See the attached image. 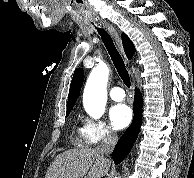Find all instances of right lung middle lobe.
Instances as JSON below:
<instances>
[{"label":"right lung middle lobe","mask_w":194,"mask_h":178,"mask_svg":"<svg viewBox=\"0 0 194 178\" xmlns=\"http://www.w3.org/2000/svg\"><path fill=\"white\" fill-rule=\"evenodd\" d=\"M69 113H70V111H68V112L66 113V116H68Z\"/></svg>","instance_id":"obj_1"}]
</instances>
